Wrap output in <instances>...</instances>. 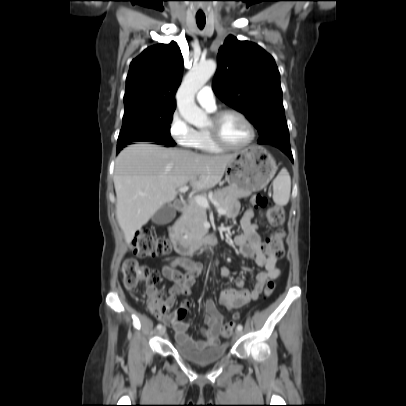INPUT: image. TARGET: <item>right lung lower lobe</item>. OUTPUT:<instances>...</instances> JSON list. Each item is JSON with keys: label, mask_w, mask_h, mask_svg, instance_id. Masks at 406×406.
<instances>
[{"label": "right lung lower lobe", "mask_w": 406, "mask_h": 406, "mask_svg": "<svg viewBox=\"0 0 406 406\" xmlns=\"http://www.w3.org/2000/svg\"><path fill=\"white\" fill-rule=\"evenodd\" d=\"M166 147H170V145H166ZM120 150H122V148H121V149H117V153H119Z\"/></svg>", "instance_id": "right-lung-lower-lobe-1"}]
</instances>
